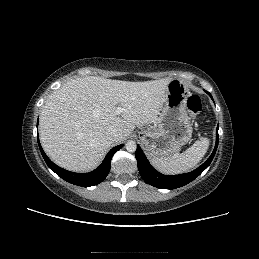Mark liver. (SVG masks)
<instances>
[{
    "label": "liver",
    "instance_id": "6515ba94",
    "mask_svg": "<svg viewBox=\"0 0 259 259\" xmlns=\"http://www.w3.org/2000/svg\"><path fill=\"white\" fill-rule=\"evenodd\" d=\"M171 80L129 82L89 76L68 81L42 107L44 151L67 170L95 169L112 144L106 137L108 130H118L122 141L136 126L158 120ZM118 107L124 109L120 114Z\"/></svg>",
    "mask_w": 259,
    "mask_h": 259
}]
</instances>
